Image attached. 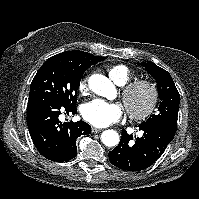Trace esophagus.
<instances>
[{"label": "esophagus", "mask_w": 199, "mask_h": 199, "mask_svg": "<svg viewBox=\"0 0 199 199\" xmlns=\"http://www.w3.org/2000/svg\"><path fill=\"white\" fill-rule=\"evenodd\" d=\"M102 131V129L99 128H92V133L96 134V133H100Z\"/></svg>", "instance_id": "1"}]
</instances>
